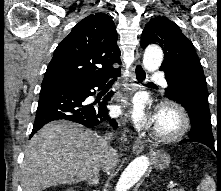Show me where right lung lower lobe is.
<instances>
[{
  "instance_id": "1",
  "label": "right lung lower lobe",
  "mask_w": 221,
  "mask_h": 191,
  "mask_svg": "<svg viewBox=\"0 0 221 191\" xmlns=\"http://www.w3.org/2000/svg\"><path fill=\"white\" fill-rule=\"evenodd\" d=\"M120 70L101 81L86 84H58L41 87L34 128L30 138L45 124L54 120H69L93 128L102 122H108L114 129L117 122L110 119L106 107L107 101L113 95L108 93L105 100L97 105L84 104L87 97L95 94L94 88L101 89L105 81L112 76H119Z\"/></svg>"
}]
</instances>
